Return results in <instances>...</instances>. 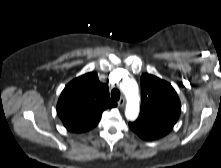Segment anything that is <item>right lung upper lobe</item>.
I'll list each match as a JSON object with an SVG mask.
<instances>
[{"instance_id":"1","label":"right lung upper lobe","mask_w":221,"mask_h":168,"mask_svg":"<svg viewBox=\"0 0 221 168\" xmlns=\"http://www.w3.org/2000/svg\"><path fill=\"white\" fill-rule=\"evenodd\" d=\"M109 88L99 81L95 72L75 78L63 89L57 113L66 129L81 133L94 128L107 108L116 107Z\"/></svg>"}]
</instances>
